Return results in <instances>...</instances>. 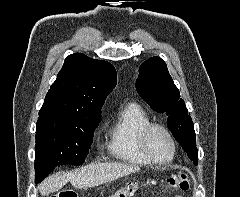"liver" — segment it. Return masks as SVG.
Here are the masks:
<instances>
[{
	"instance_id": "1",
	"label": "liver",
	"mask_w": 240,
	"mask_h": 197,
	"mask_svg": "<svg viewBox=\"0 0 240 197\" xmlns=\"http://www.w3.org/2000/svg\"><path fill=\"white\" fill-rule=\"evenodd\" d=\"M139 170V166L120 163L89 164L66 173L48 176L39 185V191L42 196H45L57 192L67 182H70L75 188H91Z\"/></svg>"
}]
</instances>
